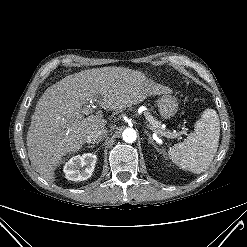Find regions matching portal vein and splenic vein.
Returning a JSON list of instances; mask_svg holds the SVG:
<instances>
[{
  "label": "portal vein and splenic vein",
  "mask_w": 247,
  "mask_h": 247,
  "mask_svg": "<svg viewBox=\"0 0 247 247\" xmlns=\"http://www.w3.org/2000/svg\"><path fill=\"white\" fill-rule=\"evenodd\" d=\"M92 104H93V100H90V105L92 106ZM90 105L83 109V113H84V114H89V112H90V107H91ZM147 126H148V128H150V130H152V131L154 132V134H155L156 136L159 134L157 131L153 130V128H151L148 124H147Z\"/></svg>",
  "instance_id": "1"
}]
</instances>
